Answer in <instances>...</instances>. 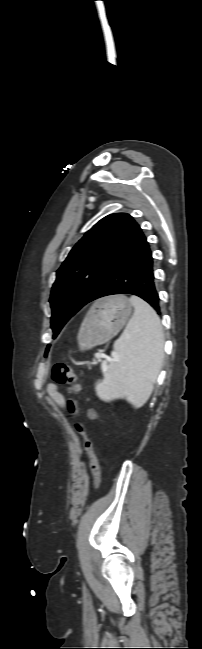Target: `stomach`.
<instances>
[{
  "instance_id": "1",
  "label": "stomach",
  "mask_w": 202,
  "mask_h": 649,
  "mask_svg": "<svg viewBox=\"0 0 202 649\" xmlns=\"http://www.w3.org/2000/svg\"><path fill=\"white\" fill-rule=\"evenodd\" d=\"M131 314L132 304L126 296L117 295L97 301L80 328V346L89 349L107 342L127 323Z\"/></svg>"
}]
</instances>
